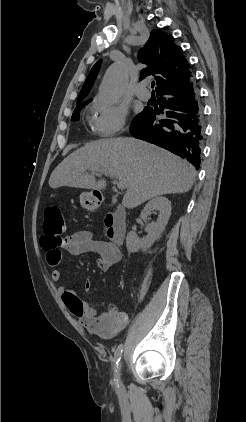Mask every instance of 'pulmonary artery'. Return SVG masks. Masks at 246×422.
<instances>
[{
  "label": "pulmonary artery",
  "instance_id": "e3ab8cb5",
  "mask_svg": "<svg viewBox=\"0 0 246 422\" xmlns=\"http://www.w3.org/2000/svg\"><path fill=\"white\" fill-rule=\"evenodd\" d=\"M135 94L137 95L138 98H140L143 101H147L151 97L150 91L147 89L146 82H141L137 85L135 89Z\"/></svg>",
  "mask_w": 246,
  "mask_h": 422
}]
</instances>
